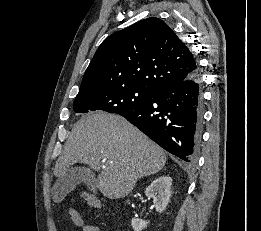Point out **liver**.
I'll return each mask as SVG.
<instances>
[{
  "mask_svg": "<svg viewBox=\"0 0 261 231\" xmlns=\"http://www.w3.org/2000/svg\"><path fill=\"white\" fill-rule=\"evenodd\" d=\"M76 163L100 172L96 185L104 196L123 198L137 179L165 166L166 154L123 117L95 112L83 116L72 128L54 175H65Z\"/></svg>",
  "mask_w": 261,
  "mask_h": 231,
  "instance_id": "1",
  "label": "liver"
}]
</instances>
